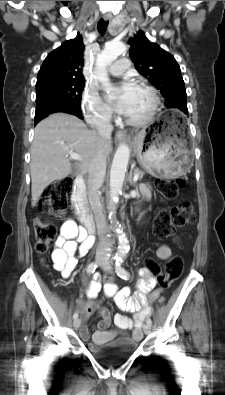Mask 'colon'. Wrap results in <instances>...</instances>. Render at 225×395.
Instances as JSON below:
<instances>
[{"label":"colon","mask_w":225,"mask_h":395,"mask_svg":"<svg viewBox=\"0 0 225 395\" xmlns=\"http://www.w3.org/2000/svg\"><path fill=\"white\" fill-rule=\"evenodd\" d=\"M184 180L178 179H158L155 182L158 192L167 199H174L184 187ZM73 179L64 177L51 183L44 191L41 198V207H46L53 214L62 213L68 205V194L72 190ZM195 220L193 207L189 202H182L170 209L162 210L155 218L153 232L158 238H167L176 235L182 229ZM35 248L39 254L49 251L57 237V228L47 220L37 218L34 221ZM183 271V261L175 256L167 261L164 271L159 268L153 260H146L141 265V272H150L157 275L161 289L172 288ZM103 284L116 283L113 278H104Z\"/></svg>","instance_id":"5ec220e1"}]
</instances>
